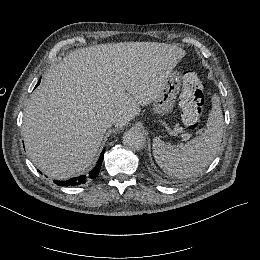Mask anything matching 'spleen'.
I'll return each instance as SVG.
<instances>
[{"mask_svg":"<svg viewBox=\"0 0 260 260\" xmlns=\"http://www.w3.org/2000/svg\"><path fill=\"white\" fill-rule=\"evenodd\" d=\"M211 102L205 131L181 148L154 138V158L167 175L179 179L196 176L213 161L222 141L224 119L217 94L212 96Z\"/></svg>","mask_w":260,"mask_h":260,"instance_id":"1","label":"spleen"}]
</instances>
